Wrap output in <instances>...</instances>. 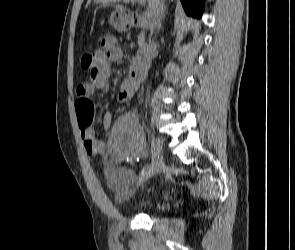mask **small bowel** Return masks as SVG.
Segmentation results:
<instances>
[{
  "label": "small bowel",
  "mask_w": 295,
  "mask_h": 250,
  "mask_svg": "<svg viewBox=\"0 0 295 250\" xmlns=\"http://www.w3.org/2000/svg\"><path fill=\"white\" fill-rule=\"evenodd\" d=\"M95 66L90 73V81L82 83L76 88L78 99L90 98L94 94L106 93L110 89V63L120 61L123 51L117 45L112 35L101 39V49L93 53ZM139 80L133 74V69L123 80L117 99L121 103L129 101L139 88ZM103 125L109 129L112 123L111 114L106 111L102 117ZM83 145L89 155H101L106 147L99 141L91 128L81 129ZM110 151L117 162L137 158L143 152V132L137 116L133 112L121 115L112 128ZM135 173L125 167H112L108 171L109 186L120 196L128 194L129 188L135 181Z\"/></svg>",
  "instance_id": "c3829d8e"
}]
</instances>
